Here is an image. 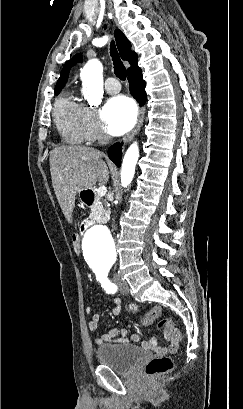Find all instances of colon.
Masks as SVG:
<instances>
[{"label":"colon","mask_w":243,"mask_h":409,"mask_svg":"<svg viewBox=\"0 0 243 409\" xmlns=\"http://www.w3.org/2000/svg\"><path fill=\"white\" fill-rule=\"evenodd\" d=\"M72 245L75 253H80V239L78 235H73ZM163 313L162 308L153 307L142 319L143 325L151 324ZM159 329H162L166 336L170 335L172 330L177 331L178 337L181 339V333L170 318H164L158 323ZM174 366L173 359L169 356H160L153 358L145 367V373L148 377L153 378L166 374L172 370Z\"/></svg>","instance_id":"obj_1"}]
</instances>
